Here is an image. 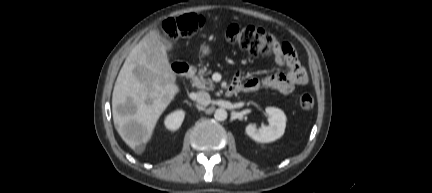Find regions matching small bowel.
Segmentation results:
<instances>
[{"mask_svg": "<svg viewBox=\"0 0 432 193\" xmlns=\"http://www.w3.org/2000/svg\"><path fill=\"white\" fill-rule=\"evenodd\" d=\"M273 54L275 63L284 66L286 71L262 79L250 78L246 81H242L237 75L234 83L240 86V90L255 91L263 87L277 90L283 94H290L297 86L305 85L308 82V73L299 63L296 53L289 43L279 42L274 38Z\"/></svg>", "mask_w": 432, "mask_h": 193, "instance_id": "1", "label": "small bowel"}]
</instances>
